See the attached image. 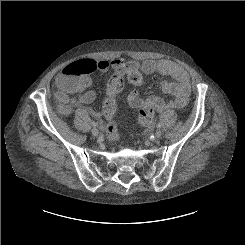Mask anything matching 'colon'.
I'll use <instances>...</instances> for the list:
<instances>
[{"label": "colon", "mask_w": 245, "mask_h": 245, "mask_svg": "<svg viewBox=\"0 0 245 245\" xmlns=\"http://www.w3.org/2000/svg\"><path fill=\"white\" fill-rule=\"evenodd\" d=\"M97 70L95 61L80 58L77 59L63 69L64 75L58 80L57 86L67 92L72 93L82 90L88 86L87 78ZM126 83L134 86H140L142 83L141 74L134 70L129 74L115 75L109 83L107 97L103 102V113L108 119L107 127L108 135L115 139L117 137L113 116L116 112V103L114 96L123 89ZM154 116V108L151 104L144 103L139 107L138 119L142 125H148L152 122Z\"/></svg>", "instance_id": "colon-1"}]
</instances>
